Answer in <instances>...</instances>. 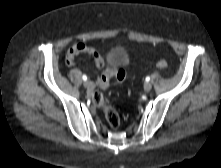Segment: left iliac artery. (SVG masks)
I'll return each instance as SVG.
<instances>
[{"mask_svg": "<svg viewBox=\"0 0 221 168\" xmlns=\"http://www.w3.org/2000/svg\"><path fill=\"white\" fill-rule=\"evenodd\" d=\"M145 80H146V82H149L150 81V77L147 76Z\"/></svg>", "mask_w": 221, "mask_h": 168, "instance_id": "44dca946", "label": "left iliac artery"}]
</instances>
